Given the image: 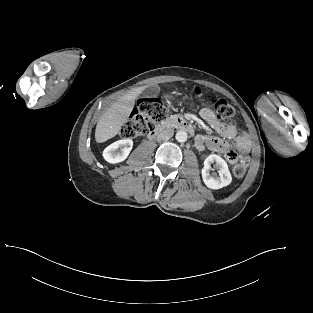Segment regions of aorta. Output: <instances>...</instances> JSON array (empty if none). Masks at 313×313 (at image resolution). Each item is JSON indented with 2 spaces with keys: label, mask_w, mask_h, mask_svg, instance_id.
Instances as JSON below:
<instances>
[{
  "label": "aorta",
  "mask_w": 313,
  "mask_h": 313,
  "mask_svg": "<svg viewBox=\"0 0 313 313\" xmlns=\"http://www.w3.org/2000/svg\"><path fill=\"white\" fill-rule=\"evenodd\" d=\"M175 137H176V140L178 142H185L187 140V138H188V135H187V133L185 131L179 130V131H177Z\"/></svg>",
  "instance_id": "762f6f07"
}]
</instances>
